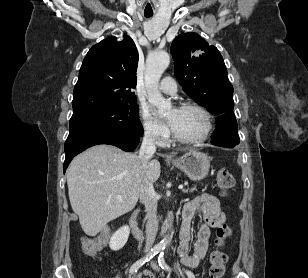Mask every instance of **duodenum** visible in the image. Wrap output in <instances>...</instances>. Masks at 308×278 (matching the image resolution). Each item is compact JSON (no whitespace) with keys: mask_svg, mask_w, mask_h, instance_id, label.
Here are the masks:
<instances>
[{"mask_svg":"<svg viewBox=\"0 0 308 278\" xmlns=\"http://www.w3.org/2000/svg\"><path fill=\"white\" fill-rule=\"evenodd\" d=\"M129 225H130L131 231H132V233H133V235L136 239H138V240L144 239V233L138 225V210L135 211L132 214V216L130 217ZM171 232H172V223L170 222L164 227L160 236L166 237V236L170 235Z\"/></svg>","mask_w":308,"mask_h":278,"instance_id":"duodenum-1","label":"duodenum"}]
</instances>
